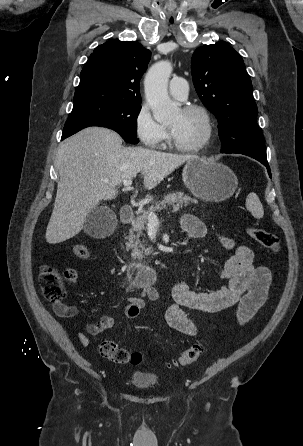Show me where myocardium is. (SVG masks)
I'll return each mask as SVG.
<instances>
[{
  "instance_id": "myocardium-1",
  "label": "myocardium",
  "mask_w": 303,
  "mask_h": 446,
  "mask_svg": "<svg viewBox=\"0 0 303 446\" xmlns=\"http://www.w3.org/2000/svg\"><path fill=\"white\" fill-rule=\"evenodd\" d=\"M181 110L185 113L195 112V113L200 114L204 120V123H205V134H204L203 138L198 143H196L194 145H182L175 140L171 130L169 129L170 145L174 149H176L180 152H184V153L199 152V151L203 150L206 146H208V144L210 143V141L212 140V137H213L214 125H213L211 114L206 107L199 105V104L184 105L181 108Z\"/></svg>"
}]
</instances>
